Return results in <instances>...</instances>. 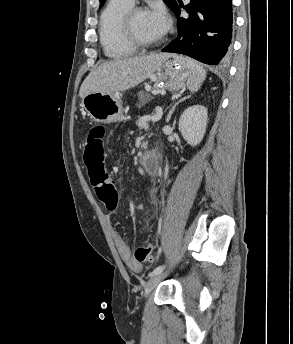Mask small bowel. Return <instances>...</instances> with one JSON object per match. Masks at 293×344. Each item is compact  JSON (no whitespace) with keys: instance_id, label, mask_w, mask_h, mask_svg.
Wrapping results in <instances>:
<instances>
[{"instance_id":"obj_1","label":"small bowel","mask_w":293,"mask_h":344,"mask_svg":"<svg viewBox=\"0 0 293 344\" xmlns=\"http://www.w3.org/2000/svg\"><path fill=\"white\" fill-rule=\"evenodd\" d=\"M113 213H110L108 215V221L111 222ZM112 236L114 239V243L116 245V248L123 259V261L126 263V265L134 272H140L142 270V262L137 261L133 255L132 252L127 245L125 239L114 229L112 228Z\"/></svg>"}]
</instances>
